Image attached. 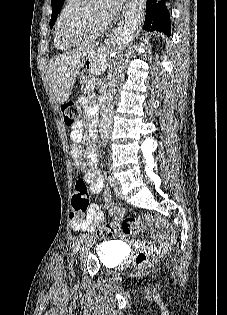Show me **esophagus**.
Returning <instances> with one entry per match:
<instances>
[{"label": "esophagus", "instance_id": "esophagus-1", "mask_svg": "<svg viewBox=\"0 0 227 315\" xmlns=\"http://www.w3.org/2000/svg\"><path fill=\"white\" fill-rule=\"evenodd\" d=\"M131 9V3H129V5H127V9H126V12L123 13L122 17L120 18L119 20V23H118V26L123 24L124 20L126 19V15L129 13V10ZM117 28L118 27H115L112 32L110 33V35L108 36V38L105 40L106 43H110L113 38H115V34L117 32Z\"/></svg>", "mask_w": 227, "mask_h": 315}]
</instances>
